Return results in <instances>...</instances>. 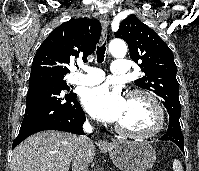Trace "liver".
<instances>
[{"label": "liver", "instance_id": "liver-1", "mask_svg": "<svg viewBox=\"0 0 199 171\" xmlns=\"http://www.w3.org/2000/svg\"><path fill=\"white\" fill-rule=\"evenodd\" d=\"M77 139L74 134L52 130L34 134L14 149L10 171H69ZM95 151V145L89 142L85 148L88 163Z\"/></svg>", "mask_w": 199, "mask_h": 171}]
</instances>
